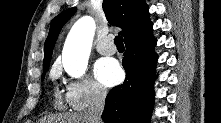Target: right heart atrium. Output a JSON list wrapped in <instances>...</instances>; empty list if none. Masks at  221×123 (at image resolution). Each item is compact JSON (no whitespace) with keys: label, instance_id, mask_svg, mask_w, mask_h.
Masks as SVG:
<instances>
[{"label":"right heart atrium","instance_id":"right-heart-atrium-1","mask_svg":"<svg viewBox=\"0 0 221 123\" xmlns=\"http://www.w3.org/2000/svg\"><path fill=\"white\" fill-rule=\"evenodd\" d=\"M55 75H59V72H55ZM65 99L72 110L82 111L103 103L106 99V92L96 82L85 77L71 80L66 84Z\"/></svg>","mask_w":221,"mask_h":123}]
</instances>
